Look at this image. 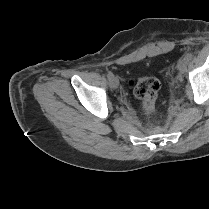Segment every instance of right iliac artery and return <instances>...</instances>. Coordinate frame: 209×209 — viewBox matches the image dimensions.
I'll return each instance as SVG.
<instances>
[{
	"label": "right iliac artery",
	"mask_w": 209,
	"mask_h": 209,
	"mask_svg": "<svg viewBox=\"0 0 209 209\" xmlns=\"http://www.w3.org/2000/svg\"><path fill=\"white\" fill-rule=\"evenodd\" d=\"M107 77H108V79L110 80V79L113 77V73H112V72H108V73H107Z\"/></svg>",
	"instance_id": "right-iliac-artery-1"
}]
</instances>
